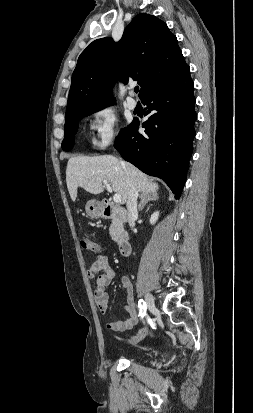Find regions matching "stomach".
I'll return each mask as SVG.
<instances>
[{"label": "stomach", "instance_id": "1", "mask_svg": "<svg viewBox=\"0 0 253 413\" xmlns=\"http://www.w3.org/2000/svg\"><path fill=\"white\" fill-rule=\"evenodd\" d=\"M85 210L90 217H100L103 214V207L101 203L96 200H90L85 206Z\"/></svg>", "mask_w": 253, "mask_h": 413}]
</instances>
